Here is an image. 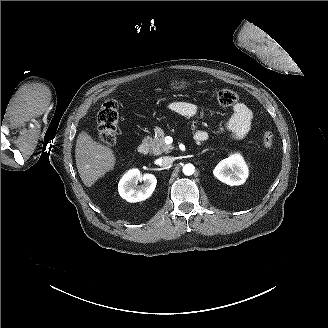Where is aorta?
Instances as JSON below:
<instances>
[{
	"instance_id": "aorta-1",
	"label": "aorta",
	"mask_w": 328,
	"mask_h": 328,
	"mask_svg": "<svg viewBox=\"0 0 328 328\" xmlns=\"http://www.w3.org/2000/svg\"><path fill=\"white\" fill-rule=\"evenodd\" d=\"M194 171H195V167L192 164L188 163L183 165V173L185 175L190 176L194 173Z\"/></svg>"
}]
</instances>
